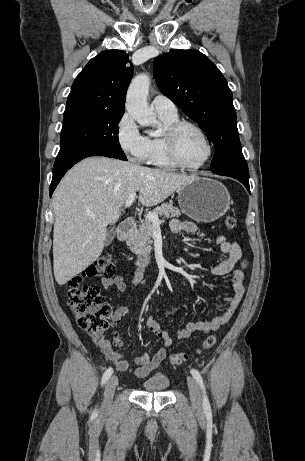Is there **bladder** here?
Listing matches in <instances>:
<instances>
[{
	"instance_id": "1",
	"label": "bladder",
	"mask_w": 305,
	"mask_h": 461,
	"mask_svg": "<svg viewBox=\"0 0 305 461\" xmlns=\"http://www.w3.org/2000/svg\"><path fill=\"white\" fill-rule=\"evenodd\" d=\"M169 386L170 380L164 374H156L141 382L142 390L151 393L165 392L169 388Z\"/></svg>"
}]
</instances>
